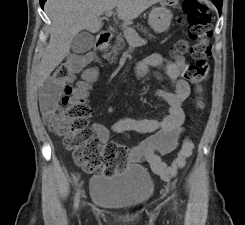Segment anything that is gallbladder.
Masks as SVG:
<instances>
[{"mask_svg":"<svg viewBox=\"0 0 245 225\" xmlns=\"http://www.w3.org/2000/svg\"><path fill=\"white\" fill-rule=\"evenodd\" d=\"M94 45V37L87 31L78 33L71 43L72 51L76 54H83L89 51Z\"/></svg>","mask_w":245,"mask_h":225,"instance_id":"gallbladder-1","label":"gallbladder"}]
</instances>
